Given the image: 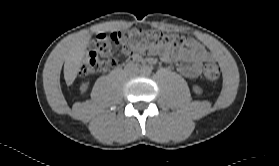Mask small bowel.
<instances>
[{
	"label": "small bowel",
	"mask_w": 279,
	"mask_h": 166,
	"mask_svg": "<svg viewBox=\"0 0 279 166\" xmlns=\"http://www.w3.org/2000/svg\"><path fill=\"white\" fill-rule=\"evenodd\" d=\"M140 53L134 58H139ZM210 58L208 51L200 44L194 43L192 47L181 54L180 59L186 64L179 67V71L187 78H195L199 75L201 65L204 61ZM162 59L166 62L171 60L169 54H163Z\"/></svg>",
	"instance_id": "small-bowel-1"
}]
</instances>
